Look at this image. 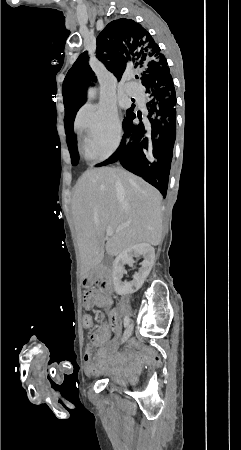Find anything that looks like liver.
I'll list each match as a JSON object with an SVG mask.
<instances>
[{"mask_svg": "<svg viewBox=\"0 0 241 450\" xmlns=\"http://www.w3.org/2000/svg\"><path fill=\"white\" fill-rule=\"evenodd\" d=\"M122 190H116V180ZM162 196L156 188L119 168H93L80 176L72 198L82 280L102 262L104 236L109 256L136 244L158 246L162 236Z\"/></svg>", "mask_w": 241, "mask_h": 450, "instance_id": "liver-1", "label": "liver"}]
</instances>
